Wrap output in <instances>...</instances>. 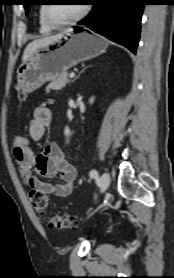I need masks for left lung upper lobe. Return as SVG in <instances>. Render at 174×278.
<instances>
[{
  "label": "left lung upper lobe",
  "mask_w": 174,
  "mask_h": 278,
  "mask_svg": "<svg viewBox=\"0 0 174 278\" xmlns=\"http://www.w3.org/2000/svg\"><path fill=\"white\" fill-rule=\"evenodd\" d=\"M23 5L25 7V11H26V14H28L29 12V9H30V5H32L33 3V0H23Z\"/></svg>",
  "instance_id": "1"
}]
</instances>
